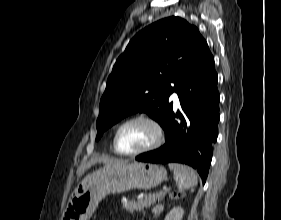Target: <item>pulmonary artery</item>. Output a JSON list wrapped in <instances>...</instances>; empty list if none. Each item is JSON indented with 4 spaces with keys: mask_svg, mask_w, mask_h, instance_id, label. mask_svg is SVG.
<instances>
[{
    "mask_svg": "<svg viewBox=\"0 0 281 220\" xmlns=\"http://www.w3.org/2000/svg\"><path fill=\"white\" fill-rule=\"evenodd\" d=\"M170 99L173 101L175 108H178L180 106V102H179L177 93H172Z\"/></svg>",
    "mask_w": 281,
    "mask_h": 220,
    "instance_id": "pulmonary-artery-1",
    "label": "pulmonary artery"
}]
</instances>
